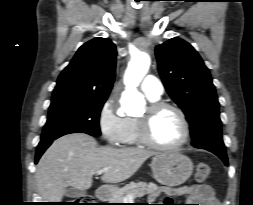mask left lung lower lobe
I'll return each mask as SVG.
<instances>
[{"mask_svg":"<svg viewBox=\"0 0 253 205\" xmlns=\"http://www.w3.org/2000/svg\"><path fill=\"white\" fill-rule=\"evenodd\" d=\"M206 150L217 155L225 163V165L228 166V159H227L226 152L215 150V149H206Z\"/></svg>","mask_w":253,"mask_h":205,"instance_id":"1","label":"left lung lower lobe"}]
</instances>
